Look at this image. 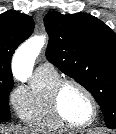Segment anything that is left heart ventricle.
<instances>
[{"mask_svg": "<svg viewBox=\"0 0 116 134\" xmlns=\"http://www.w3.org/2000/svg\"><path fill=\"white\" fill-rule=\"evenodd\" d=\"M61 108L67 119L74 123H87L92 116V106L86 94L79 88L68 85L61 94Z\"/></svg>", "mask_w": 116, "mask_h": 134, "instance_id": "obj_1", "label": "left heart ventricle"}]
</instances>
